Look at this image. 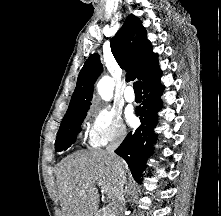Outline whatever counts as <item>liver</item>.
Here are the masks:
<instances>
[{
  "label": "liver",
  "instance_id": "obj_1",
  "mask_svg": "<svg viewBox=\"0 0 221 216\" xmlns=\"http://www.w3.org/2000/svg\"><path fill=\"white\" fill-rule=\"evenodd\" d=\"M56 176L62 216H96L99 183L117 197L118 174L113 158L105 150L78 151L67 156L57 165Z\"/></svg>",
  "mask_w": 221,
  "mask_h": 216
}]
</instances>
